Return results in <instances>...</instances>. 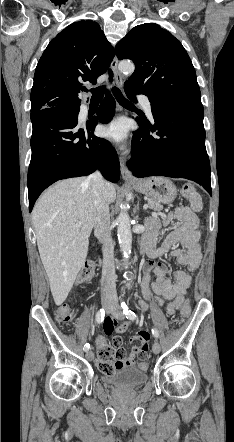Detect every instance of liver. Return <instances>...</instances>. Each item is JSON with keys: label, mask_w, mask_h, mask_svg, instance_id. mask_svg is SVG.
Segmentation results:
<instances>
[{"label": "liver", "mask_w": 234, "mask_h": 442, "mask_svg": "<svg viewBox=\"0 0 234 442\" xmlns=\"http://www.w3.org/2000/svg\"><path fill=\"white\" fill-rule=\"evenodd\" d=\"M108 204L116 198L113 184L105 182ZM96 207L86 178L59 181L36 202L32 220L41 261L56 305L67 298L84 264ZM78 222L83 225L73 228Z\"/></svg>", "instance_id": "1"}]
</instances>
